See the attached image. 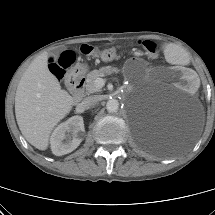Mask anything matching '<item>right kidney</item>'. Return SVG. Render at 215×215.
Wrapping results in <instances>:
<instances>
[{
	"mask_svg": "<svg viewBox=\"0 0 215 215\" xmlns=\"http://www.w3.org/2000/svg\"><path fill=\"white\" fill-rule=\"evenodd\" d=\"M67 132H70V135L67 136ZM84 132L83 117L81 116H73L61 123L55 128L50 138L52 153L62 156L72 152L82 142Z\"/></svg>",
	"mask_w": 215,
	"mask_h": 215,
	"instance_id": "obj_1",
	"label": "right kidney"
}]
</instances>
